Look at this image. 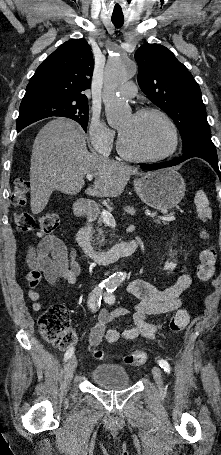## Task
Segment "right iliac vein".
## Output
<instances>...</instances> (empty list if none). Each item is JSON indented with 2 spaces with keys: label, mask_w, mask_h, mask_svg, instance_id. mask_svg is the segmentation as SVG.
Wrapping results in <instances>:
<instances>
[{
  "label": "right iliac vein",
  "mask_w": 221,
  "mask_h": 455,
  "mask_svg": "<svg viewBox=\"0 0 221 455\" xmlns=\"http://www.w3.org/2000/svg\"><path fill=\"white\" fill-rule=\"evenodd\" d=\"M78 362L75 356H72L68 363V368L71 372H74L77 368Z\"/></svg>",
  "instance_id": "obj_1"
}]
</instances>
